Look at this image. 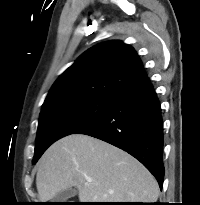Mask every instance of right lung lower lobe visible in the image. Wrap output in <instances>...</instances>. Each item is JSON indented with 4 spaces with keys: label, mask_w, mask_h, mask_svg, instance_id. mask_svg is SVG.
<instances>
[{
    "label": "right lung lower lobe",
    "mask_w": 200,
    "mask_h": 205,
    "mask_svg": "<svg viewBox=\"0 0 200 205\" xmlns=\"http://www.w3.org/2000/svg\"><path fill=\"white\" fill-rule=\"evenodd\" d=\"M73 134H86L127 151L162 188L163 121L159 100L147 77L122 92L101 116Z\"/></svg>",
    "instance_id": "right-lung-lower-lobe-1"
}]
</instances>
